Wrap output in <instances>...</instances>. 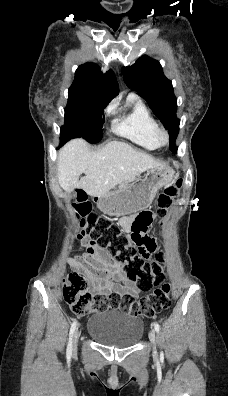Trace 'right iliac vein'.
Segmentation results:
<instances>
[{"label": "right iliac vein", "instance_id": "1", "mask_svg": "<svg viewBox=\"0 0 228 396\" xmlns=\"http://www.w3.org/2000/svg\"><path fill=\"white\" fill-rule=\"evenodd\" d=\"M78 338H79V331L77 330L75 335H74V339H73L74 346L76 345V343L78 341Z\"/></svg>", "mask_w": 228, "mask_h": 396}]
</instances>
